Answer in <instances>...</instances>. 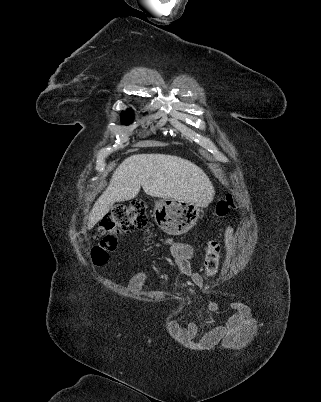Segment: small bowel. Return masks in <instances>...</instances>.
<instances>
[{
	"label": "small bowel",
	"instance_id": "obj_1",
	"mask_svg": "<svg viewBox=\"0 0 321 402\" xmlns=\"http://www.w3.org/2000/svg\"><path fill=\"white\" fill-rule=\"evenodd\" d=\"M225 238L229 246L234 242V228L230 224L225 229ZM170 253L174 259L177 269L195 285L201 286L203 278L195 270L190 260L194 257L195 251L192 245L185 242L168 240ZM145 280L144 273H137L130 281L129 287L135 289ZM217 305L215 302H208L206 309L215 311ZM231 320H226L225 325L217 324L213 330H205L202 326H196L195 321H190L189 326L179 327L177 324L170 326L172 335L179 337L185 344H189L191 350H198L200 345L203 351H213V347H220L221 340L225 347H243L244 339H254L256 333L254 330L258 326L257 321L251 320L253 313L250 311L248 302H233L231 305ZM196 341H193L194 336ZM200 343V344H199Z\"/></svg>",
	"mask_w": 321,
	"mask_h": 402
}]
</instances>
